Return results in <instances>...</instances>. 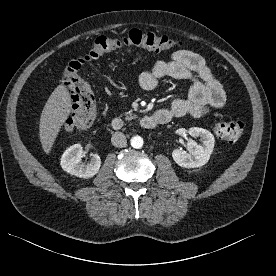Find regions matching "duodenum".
Wrapping results in <instances>:
<instances>
[{
    "mask_svg": "<svg viewBox=\"0 0 276 276\" xmlns=\"http://www.w3.org/2000/svg\"><path fill=\"white\" fill-rule=\"evenodd\" d=\"M170 120L169 116L162 111H157L153 116H144L140 120V125L144 129H153L157 125L165 124ZM111 126L114 130H121L125 126L122 118L116 117L112 120Z\"/></svg>",
    "mask_w": 276,
    "mask_h": 276,
    "instance_id": "duodenum-1",
    "label": "duodenum"
}]
</instances>
